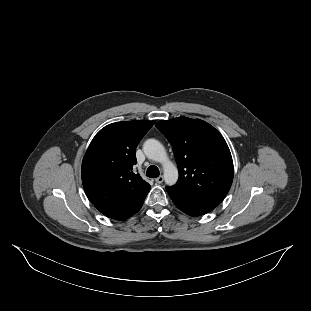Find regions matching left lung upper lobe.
I'll return each instance as SVG.
<instances>
[{"label":"left lung upper lobe","mask_w":311,"mask_h":311,"mask_svg":"<svg viewBox=\"0 0 311 311\" xmlns=\"http://www.w3.org/2000/svg\"><path fill=\"white\" fill-rule=\"evenodd\" d=\"M156 127L171 143L179 179L169 188L193 198L220 203L234 176L230 150L222 135L199 119L161 120Z\"/></svg>","instance_id":"5c2ea615"}]
</instances>
